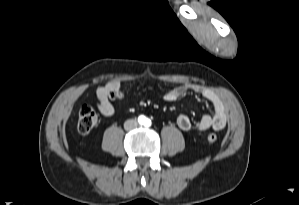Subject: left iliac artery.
<instances>
[{
  "instance_id": "44dca946",
  "label": "left iliac artery",
  "mask_w": 299,
  "mask_h": 205,
  "mask_svg": "<svg viewBox=\"0 0 299 205\" xmlns=\"http://www.w3.org/2000/svg\"><path fill=\"white\" fill-rule=\"evenodd\" d=\"M151 125V121L149 120V119H147L146 121H145V126L146 127H149Z\"/></svg>"
}]
</instances>
